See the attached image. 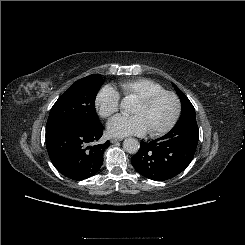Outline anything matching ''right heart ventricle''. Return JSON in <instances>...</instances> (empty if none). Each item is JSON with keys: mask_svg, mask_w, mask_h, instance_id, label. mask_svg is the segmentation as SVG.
Returning a JSON list of instances; mask_svg holds the SVG:
<instances>
[{"mask_svg": "<svg viewBox=\"0 0 245 245\" xmlns=\"http://www.w3.org/2000/svg\"><path fill=\"white\" fill-rule=\"evenodd\" d=\"M121 92L125 97L136 99L165 91L164 87L158 82L149 78H137L120 83Z\"/></svg>", "mask_w": 245, "mask_h": 245, "instance_id": "e07e8e85", "label": "right heart ventricle"}]
</instances>
